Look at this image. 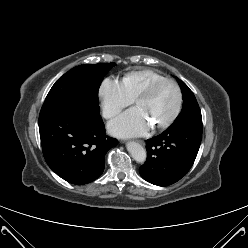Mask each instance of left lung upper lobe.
I'll use <instances>...</instances> for the list:
<instances>
[{"label":"left lung upper lobe","mask_w":248,"mask_h":248,"mask_svg":"<svg viewBox=\"0 0 248 248\" xmlns=\"http://www.w3.org/2000/svg\"><path fill=\"white\" fill-rule=\"evenodd\" d=\"M178 83L182 90L183 107L181 113L171 124L170 128L199 125L202 126V116L197 100L190 88L181 80Z\"/></svg>","instance_id":"1"}]
</instances>
